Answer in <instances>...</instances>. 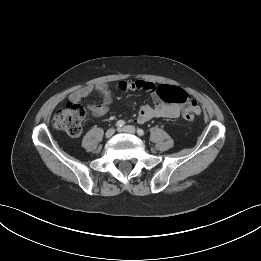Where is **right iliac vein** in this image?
I'll list each match as a JSON object with an SVG mask.
<instances>
[{"mask_svg": "<svg viewBox=\"0 0 261 261\" xmlns=\"http://www.w3.org/2000/svg\"><path fill=\"white\" fill-rule=\"evenodd\" d=\"M115 133V130L113 128L107 130V132L105 133L106 138H110L113 136V134Z\"/></svg>", "mask_w": 261, "mask_h": 261, "instance_id": "63e3f726", "label": "right iliac vein"}]
</instances>
